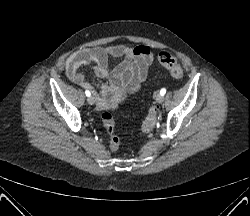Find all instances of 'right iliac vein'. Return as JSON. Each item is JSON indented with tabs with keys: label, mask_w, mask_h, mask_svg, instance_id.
Masks as SVG:
<instances>
[{
	"label": "right iliac vein",
	"mask_w": 250,
	"mask_h": 216,
	"mask_svg": "<svg viewBox=\"0 0 250 216\" xmlns=\"http://www.w3.org/2000/svg\"><path fill=\"white\" fill-rule=\"evenodd\" d=\"M87 101L90 105H93L95 103V98L93 96H89Z\"/></svg>",
	"instance_id": "right-iliac-vein-1"
}]
</instances>
